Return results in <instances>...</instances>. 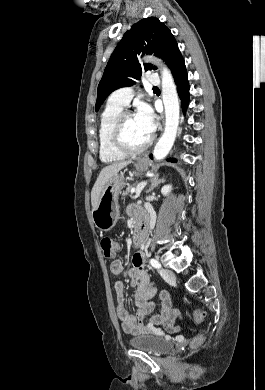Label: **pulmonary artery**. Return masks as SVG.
<instances>
[{
	"label": "pulmonary artery",
	"instance_id": "pulmonary-artery-1",
	"mask_svg": "<svg viewBox=\"0 0 265 390\" xmlns=\"http://www.w3.org/2000/svg\"><path fill=\"white\" fill-rule=\"evenodd\" d=\"M147 82L150 85L157 86L160 84V79L153 71H148ZM133 97V88L125 87L117 90L113 95L109 98V103L114 104L121 107H126L130 103Z\"/></svg>",
	"mask_w": 265,
	"mask_h": 390
}]
</instances>
